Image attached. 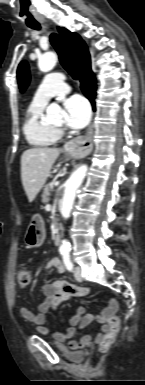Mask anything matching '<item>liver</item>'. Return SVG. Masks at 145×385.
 I'll list each match as a JSON object with an SVG mask.
<instances>
[{"instance_id": "6515ba94", "label": "liver", "mask_w": 145, "mask_h": 385, "mask_svg": "<svg viewBox=\"0 0 145 385\" xmlns=\"http://www.w3.org/2000/svg\"><path fill=\"white\" fill-rule=\"evenodd\" d=\"M57 148H31L21 156V180L28 197L32 202L40 192L52 165L59 156Z\"/></svg>"}]
</instances>
